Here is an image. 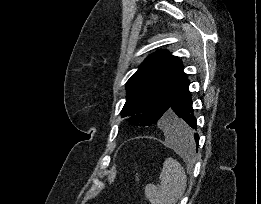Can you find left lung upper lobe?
I'll list each match as a JSON object with an SVG mask.
<instances>
[{
    "instance_id": "left-lung-upper-lobe-1",
    "label": "left lung upper lobe",
    "mask_w": 261,
    "mask_h": 204,
    "mask_svg": "<svg viewBox=\"0 0 261 204\" xmlns=\"http://www.w3.org/2000/svg\"><path fill=\"white\" fill-rule=\"evenodd\" d=\"M186 79L181 60L166 50H158L128 80L122 117H128L136 126L162 124Z\"/></svg>"
}]
</instances>
